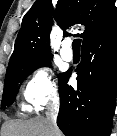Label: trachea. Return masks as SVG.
Masks as SVG:
<instances>
[{"label": "trachea", "instance_id": "3493384b", "mask_svg": "<svg viewBox=\"0 0 117 136\" xmlns=\"http://www.w3.org/2000/svg\"><path fill=\"white\" fill-rule=\"evenodd\" d=\"M81 39H74L72 42L73 51H80Z\"/></svg>", "mask_w": 117, "mask_h": 136}]
</instances>
